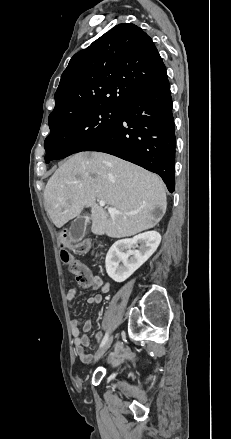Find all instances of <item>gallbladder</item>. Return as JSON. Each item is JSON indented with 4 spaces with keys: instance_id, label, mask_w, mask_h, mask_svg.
<instances>
[{
    "instance_id": "bac80fb5",
    "label": "gallbladder",
    "mask_w": 231,
    "mask_h": 439,
    "mask_svg": "<svg viewBox=\"0 0 231 439\" xmlns=\"http://www.w3.org/2000/svg\"><path fill=\"white\" fill-rule=\"evenodd\" d=\"M88 222L89 217L87 215L79 216L72 222L69 235L73 241H75V238H78L79 241L83 239Z\"/></svg>"
}]
</instances>
